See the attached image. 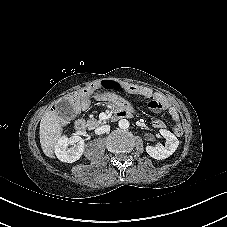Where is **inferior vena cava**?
<instances>
[{"mask_svg": "<svg viewBox=\"0 0 227 227\" xmlns=\"http://www.w3.org/2000/svg\"><path fill=\"white\" fill-rule=\"evenodd\" d=\"M109 128H110L109 125H103V126H101V127H98V128L95 130V133H96V134H103V133H105Z\"/></svg>", "mask_w": 227, "mask_h": 227, "instance_id": "602c4592", "label": "inferior vena cava"}]
</instances>
